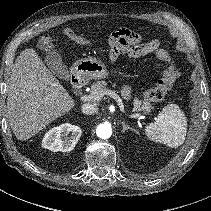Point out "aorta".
Returning <instances> with one entry per match:
<instances>
[{"label": "aorta", "instance_id": "762f6f07", "mask_svg": "<svg viewBox=\"0 0 211 211\" xmlns=\"http://www.w3.org/2000/svg\"><path fill=\"white\" fill-rule=\"evenodd\" d=\"M96 134L101 139H108L112 134V128L106 123L100 124L96 128Z\"/></svg>", "mask_w": 211, "mask_h": 211}]
</instances>
